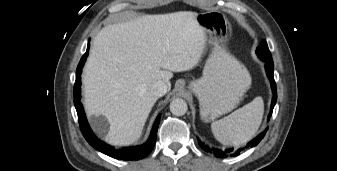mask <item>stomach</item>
<instances>
[{
  "mask_svg": "<svg viewBox=\"0 0 337 171\" xmlns=\"http://www.w3.org/2000/svg\"><path fill=\"white\" fill-rule=\"evenodd\" d=\"M196 20L214 47L202 77L190 82L189 89L199 100L201 119L210 122L237 107L250 88L251 77L245 66L224 49L232 33L226 16L207 12L198 14Z\"/></svg>",
  "mask_w": 337,
  "mask_h": 171,
  "instance_id": "stomach-1",
  "label": "stomach"
}]
</instances>
